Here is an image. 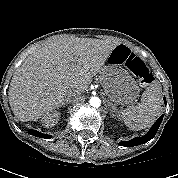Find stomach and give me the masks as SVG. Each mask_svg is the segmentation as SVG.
<instances>
[{
  "instance_id": "obj_1",
  "label": "stomach",
  "mask_w": 178,
  "mask_h": 178,
  "mask_svg": "<svg viewBox=\"0 0 178 178\" xmlns=\"http://www.w3.org/2000/svg\"><path fill=\"white\" fill-rule=\"evenodd\" d=\"M99 72V79L108 98L116 105L131 106L138 98L140 87L127 68L128 57L116 56V48Z\"/></svg>"
}]
</instances>
